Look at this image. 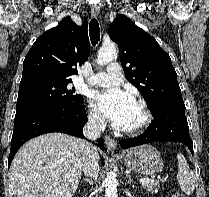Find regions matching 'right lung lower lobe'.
<instances>
[{
  "mask_svg": "<svg viewBox=\"0 0 209 197\" xmlns=\"http://www.w3.org/2000/svg\"><path fill=\"white\" fill-rule=\"evenodd\" d=\"M87 121L84 103L42 106L16 113L8 166L18 149L33 137L50 132H63L84 138L82 129ZM98 145L102 150L105 149L102 138L98 140Z\"/></svg>",
  "mask_w": 209,
  "mask_h": 197,
  "instance_id": "1",
  "label": "right lung lower lobe"
}]
</instances>
